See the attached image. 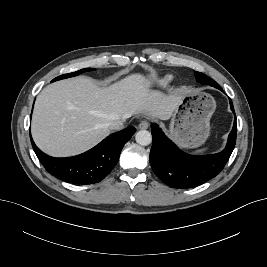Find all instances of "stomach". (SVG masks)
Listing matches in <instances>:
<instances>
[{
    "label": "stomach",
    "instance_id": "1",
    "mask_svg": "<svg viewBox=\"0 0 267 267\" xmlns=\"http://www.w3.org/2000/svg\"><path fill=\"white\" fill-rule=\"evenodd\" d=\"M216 109L215 99L196 90L184 93L170 122V135L182 148L204 144L210 133V119Z\"/></svg>",
    "mask_w": 267,
    "mask_h": 267
}]
</instances>
